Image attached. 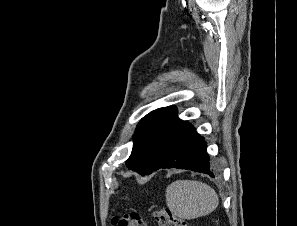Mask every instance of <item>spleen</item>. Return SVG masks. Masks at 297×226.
<instances>
[{
    "label": "spleen",
    "instance_id": "1",
    "mask_svg": "<svg viewBox=\"0 0 297 226\" xmlns=\"http://www.w3.org/2000/svg\"><path fill=\"white\" fill-rule=\"evenodd\" d=\"M166 204L174 216L190 220L214 211L219 204V197L206 183L177 180L166 189Z\"/></svg>",
    "mask_w": 297,
    "mask_h": 226
}]
</instances>
